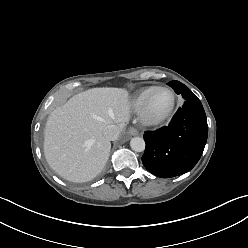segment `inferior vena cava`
Listing matches in <instances>:
<instances>
[{
    "mask_svg": "<svg viewBox=\"0 0 248 248\" xmlns=\"http://www.w3.org/2000/svg\"><path fill=\"white\" fill-rule=\"evenodd\" d=\"M120 129L116 125H108L103 130V135L106 139L114 141L119 137Z\"/></svg>",
    "mask_w": 248,
    "mask_h": 248,
    "instance_id": "602c4592",
    "label": "inferior vena cava"
}]
</instances>
